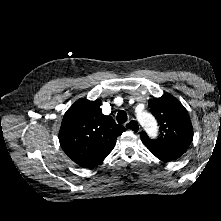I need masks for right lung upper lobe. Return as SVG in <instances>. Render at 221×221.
I'll return each mask as SVG.
<instances>
[{"mask_svg":"<svg viewBox=\"0 0 221 221\" xmlns=\"http://www.w3.org/2000/svg\"><path fill=\"white\" fill-rule=\"evenodd\" d=\"M101 101L77 100L65 113L59 141L76 164L93 168L112 151L117 137L126 129L102 114Z\"/></svg>","mask_w":221,"mask_h":221,"instance_id":"obj_1","label":"right lung upper lobe"}]
</instances>
